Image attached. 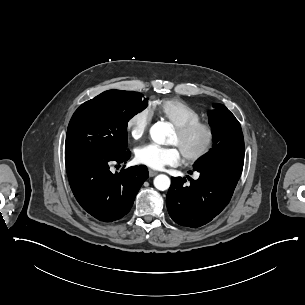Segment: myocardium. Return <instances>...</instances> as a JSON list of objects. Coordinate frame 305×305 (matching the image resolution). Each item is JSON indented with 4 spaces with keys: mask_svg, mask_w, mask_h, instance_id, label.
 Here are the masks:
<instances>
[{
    "mask_svg": "<svg viewBox=\"0 0 305 305\" xmlns=\"http://www.w3.org/2000/svg\"><path fill=\"white\" fill-rule=\"evenodd\" d=\"M176 132L181 136L185 137L196 130H204L207 134L205 143L197 151L189 154L182 155L184 160L188 163H195L203 160L213 150L216 140L217 131L214 125L207 121H194L186 124L175 125Z\"/></svg>",
    "mask_w": 305,
    "mask_h": 305,
    "instance_id": "obj_1",
    "label": "myocardium"
}]
</instances>
